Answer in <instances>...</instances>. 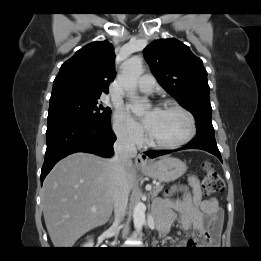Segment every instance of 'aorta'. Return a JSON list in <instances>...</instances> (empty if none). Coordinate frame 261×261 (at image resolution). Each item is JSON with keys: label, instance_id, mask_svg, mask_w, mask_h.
Listing matches in <instances>:
<instances>
[{"label": "aorta", "instance_id": "762f6f07", "mask_svg": "<svg viewBox=\"0 0 261 261\" xmlns=\"http://www.w3.org/2000/svg\"><path fill=\"white\" fill-rule=\"evenodd\" d=\"M143 73V62L140 56H133L122 64L120 81L125 88L128 97L136 102H147L136 95L137 81ZM137 115L142 114L141 110L135 111ZM146 207L142 202H137L133 210V222L137 232H141L145 223Z\"/></svg>", "mask_w": 261, "mask_h": 261}]
</instances>
